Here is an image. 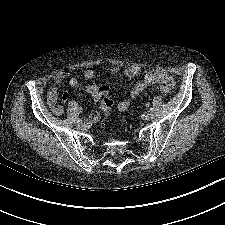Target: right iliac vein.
I'll return each mask as SVG.
<instances>
[{
    "label": "right iliac vein",
    "mask_w": 225,
    "mask_h": 225,
    "mask_svg": "<svg viewBox=\"0 0 225 225\" xmlns=\"http://www.w3.org/2000/svg\"><path fill=\"white\" fill-rule=\"evenodd\" d=\"M77 126L79 128H84L85 127V123L83 121H80V122L77 123Z\"/></svg>",
    "instance_id": "obj_1"
}]
</instances>
